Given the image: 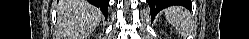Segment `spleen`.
Listing matches in <instances>:
<instances>
[{"label":"spleen","instance_id":"3e777b00","mask_svg":"<svg viewBox=\"0 0 249 39\" xmlns=\"http://www.w3.org/2000/svg\"><path fill=\"white\" fill-rule=\"evenodd\" d=\"M164 13L168 22L172 24H180L187 16V12L179 7H170L164 10Z\"/></svg>","mask_w":249,"mask_h":39}]
</instances>
